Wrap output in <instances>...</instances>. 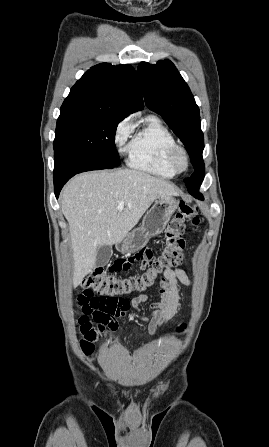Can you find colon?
<instances>
[{
    "label": "colon",
    "instance_id": "1",
    "mask_svg": "<svg viewBox=\"0 0 269 447\" xmlns=\"http://www.w3.org/2000/svg\"><path fill=\"white\" fill-rule=\"evenodd\" d=\"M199 223L197 207L193 204L181 203L166 228L163 250L154 252L142 249L136 253H129L128 257H116L115 262H108L105 269L102 266L93 267L90 275L82 282L84 292L78 298L82 309V314L78 316V323L82 335L80 347L83 353L89 354L93 351L94 343L104 329L101 323H109V330L106 331L105 336L108 339L113 338V331L119 329V324L111 322L112 314L118 311L119 306H127L128 295L134 291L150 290L159 280L165 278L168 271L182 262L185 229L190 227L193 231H197ZM111 268L116 271L144 272L130 278H119L109 273ZM90 295L103 297L95 296L91 299ZM120 310H123V307H120ZM186 330L187 324L180 323L175 327L174 335L180 336Z\"/></svg>",
    "mask_w": 269,
    "mask_h": 447
}]
</instances>
